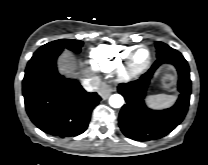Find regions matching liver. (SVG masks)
Segmentation results:
<instances>
[{
    "label": "liver",
    "mask_w": 208,
    "mask_h": 165,
    "mask_svg": "<svg viewBox=\"0 0 208 165\" xmlns=\"http://www.w3.org/2000/svg\"><path fill=\"white\" fill-rule=\"evenodd\" d=\"M59 70L63 73H71L75 68V63L72 58L66 53L59 60Z\"/></svg>",
    "instance_id": "obj_1"
}]
</instances>
